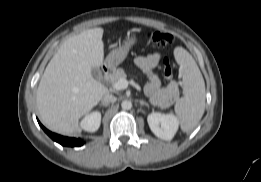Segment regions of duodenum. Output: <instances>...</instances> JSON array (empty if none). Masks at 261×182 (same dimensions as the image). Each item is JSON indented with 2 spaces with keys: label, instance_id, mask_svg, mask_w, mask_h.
Here are the masks:
<instances>
[{
  "label": "duodenum",
  "instance_id": "1",
  "mask_svg": "<svg viewBox=\"0 0 261 182\" xmlns=\"http://www.w3.org/2000/svg\"><path fill=\"white\" fill-rule=\"evenodd\" d=\"M109 73H110V67H109V66H104V67H103V77H104L105 79L108 78Z\"/></svg>",
  "mask_w": 261,
  "mask_h": 182
}]
</instances>
